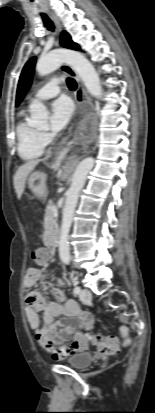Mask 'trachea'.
I'll return each mask as SVG.
<instances>
[{
    "mask_svg": "<svg viewBox=\"0 0 155 413\" xmlns=\"http://www.w3.org/2000/svg\"><path fill=\"white\" fill-rule=\"evenodd\" d=\"M41 17L43 19V22L45 26L47 27L48 30L54 31V25L53 22L50 20V18L46 14H41ZM67 85L69 89L75 90L77 87L76 81L73 78H67L66 79Z\"/></svg>",
    "mask_w": 155,
    "mask_h": 413,
    "instance_id": "trachea-1",
    "label": "trachea"
}]
</instances>
